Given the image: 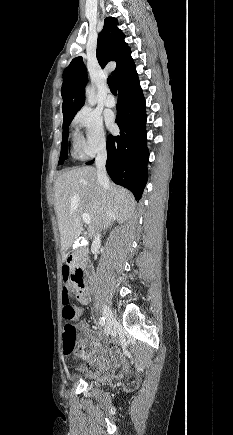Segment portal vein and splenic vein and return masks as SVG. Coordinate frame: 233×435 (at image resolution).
Segmentation results:
<instances>
[{
  "instance_id": "portal-vein-and-splenic-vein-1",
  "label": "portal vein and splenic vein",
  "mask_w": 233,
  "mask_h": 435,
  "mask_svg": "<svg viewBox=\"0 0 233 435\" xmlns=\"http://www.w3.org/2000/svg\"><path fill=\"white\" fill-rule=\"evenodd\" d=\"M82 218H83V221H84L87 225H89V224L91 223V218H90V215H89V214L84 213V214L82 215Z\"/></svg>"
}]
</instances>
